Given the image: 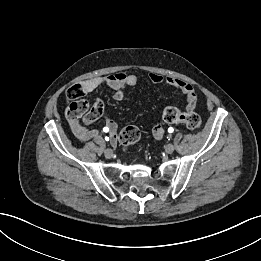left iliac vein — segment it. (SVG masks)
<instances>
[{
	"label": "left iliac vein",
	"instance_id": "4c4485c4",
	"mask_svg": "<svg viewBox=\"0 0 261 261\" xmlns=\"http://www.w3.org/2000/svg\"><path fill=\"white\" fill-rule=\"evenodd\" d=\"M174 149H175V147H174V145H173L172 143H168V144L165 146V151H166V153H168V154L173 153Z\"/></svg>",
	"mask_w": 261,
	"mask_h": 261
}]
</instances>
